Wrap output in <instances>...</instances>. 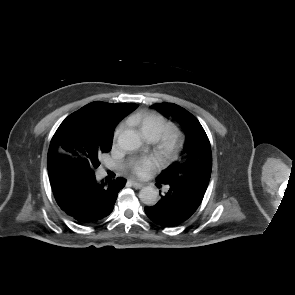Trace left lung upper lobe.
<instances>
[{
	"label": "left lung upper lobe",
	"mask_w": 295,
	"mask_h": 295,
	"mask_svg": "<svg viewBox=\"0 0 295 295\" xmlns=\"http://www.w3.org/2000/svg\"><path fill=\"white\" fill-rule=\"evenodd\" d=\"M159 107L184 126L185 142L180 158L163 170L156 181L205 192L211 176L212 153L203 127L196 117L176 104L164 102Z\"/></svg>",
	"instance_id": "5c2ea615"
}]
</instances>
